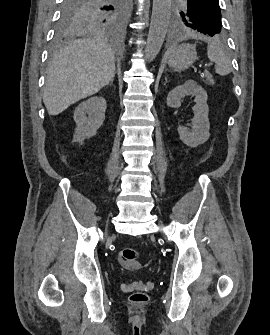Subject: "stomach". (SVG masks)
<instances>
[{"mask_svg":"<svg viewBox=\"0 0 270 335\" xmlns=\"http://www.w3.org/2000/svg\"><path fill=\"white\" fill-rule=\"evenodd\" d=\"M167 62L170 68L176 72H183L189 66H192L197 58L195 44H180V46H173L168 50Z\"/></svg>","mask_w":270,"mask_h":335,"instance_id":"0dacf381","label":"stomach"}]
</instances>
